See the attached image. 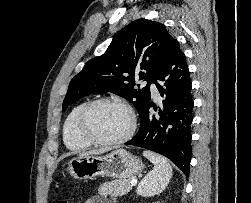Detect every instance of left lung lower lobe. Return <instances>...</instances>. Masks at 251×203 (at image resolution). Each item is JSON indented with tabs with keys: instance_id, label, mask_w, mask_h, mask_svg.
Returning a JSON list of instances; mask_svg holds the SVG:
<instances>
[{
	"instance_id": "1",
	"label": "left lung lower lobe",
	"mask_w": 251,
	"mask_h": 203,
	"mask_svg": "<svg viewBox=\"0 0 251 203\" xmlns=\"http://www.w3.org/2000/svg\"><path fill=\"white\" fill-rule=\"evenodd\" d=\"M153 83L163 97L162 107L156 108L149 101L140 114L138 133L125 144L166 156L188 177L194 102L185 55L177 40L157 71ZM152 106L156 114L149 112Z\"/></svg>"
}]
</instances>
